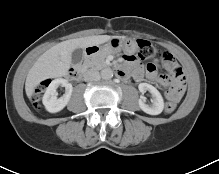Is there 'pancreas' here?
I'll use <instances>...</instances> for the list:
<instances>
[{
  "mask_svg": "<svg viewBox=\"0 0 219 174\" xmlns=\"http://www.w3.org/2000/svg\"><path fill=\"white\" fill-rule=\"evenodd\" d=\"M110 53L111 52H109V51L99 52V53L91 56L90 58L86 59L85 62H84V66L86 68H92V69L100 70V69H102L103 67H105L107 65L106 62H105V58Z\"/></svg>",
  "mask_w": 219,
  "mask_h": 174,
  "instance_id": "1",
  "label": "pancreas"
}]
</instances>
